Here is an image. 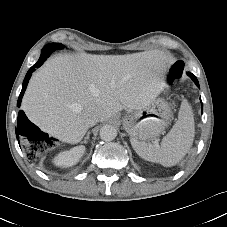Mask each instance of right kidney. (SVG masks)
Listing matches in <instances>:
<instances>
[{
    "label": "right kidney",
    "mask_w": 227,
    "mask_h": 227,
    "mask_svg": "<svg viewBox=\"0 0 227 227\" xmlns=\"http://www.w3.org/2000/svg\"><path fill=\"white\" fill-rule=\"evenodd\" d=\"M85 152L84 146H76L69 151L59 153L54 158V164L59 167H70L75 165Z\"/></svg>",
    "instance_id": "ca27d5eb"
}]
</instances>
